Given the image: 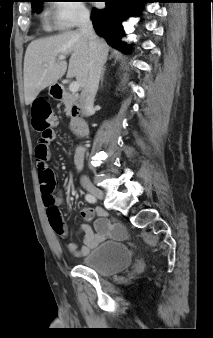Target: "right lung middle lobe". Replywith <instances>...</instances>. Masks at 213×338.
<instances>
[{
    "label": "right lung middle lobe",
    "instance_id": "dd1d6c3e",
    "mask_svg": "<svg viewBox=\"0 0 213 338\" xmlns=\"http://www.w3.org/2000/svg\"><path fill=\"white\" fill-rule=\"evenodd\" d=\"M44 1H46V0H31L30 2H31L33 11H35L37 13L40 12L41 9H42V4H43Z\"/></svg>",
    "mask_w": 213,
    "mask_h": 338
}]
</instances>
